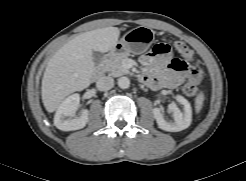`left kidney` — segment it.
<instances>
[{
  "label": "left kidney",
  "mask_w": 246,
  "mask_h": 181,
  "mask_svg": "<svg viewBox=\"0 0 246 181\" xmlns=\"http://www.w3.org/2000/svg\"><path fill=\"white\" fill-rule=\"evenodd\" d=\"M176 100L183 105V112L176 104H169L168 112L172 113L173 121L166 120L163 111L160 108L153 109L154 118L160 129L169 132H179L190 126L192 121V109L190 103L180 95L176 96Z\"/></svg>",
  "instance_id": "obj_1"
}]
</instances>
